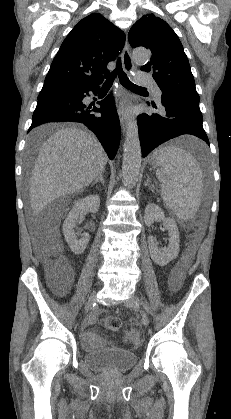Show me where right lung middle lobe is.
<instances>
[{
	"label": "right lung middle lobe",
	"mask_w": 231,
	"mask_h": 419,
	"mask_svg": "<svg viewBox=\"0 0 231 419\" xmlns=\"http://www.w3.org/2000/svg\"><path fill=\"white\" fill-rule=\"evenodd\" d=\"M76 90L77 89L58 85L43 87L38 95V100L54 96L72 95L76 92ZM37 141L38 139H36L34 142L37 143Z\"/></svg>",
	"instance_id": "1"
}]
</instances>
